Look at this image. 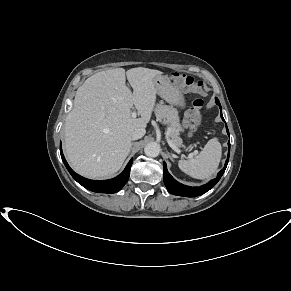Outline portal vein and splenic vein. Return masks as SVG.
<instances>
[{"label":"portal vein and splenic vein","mask_w":291,"mask_h":291,"mask_svg":"<svg viewBox=\"0 0 291 291\" xmlns=\"http://www.w3.org/2000/svg\"><path fill=\"white\" fill-rule=\"evenodd\" d=\"M136 116H137L136 111H133V112L131 113V117H132V118H136ZM166 140H167L169 146H170L174 151H176L177 153H180V149H178V148H177V147L172 143V141L169 139L168 133H166Z\"/></svg>","instance_id":"1"}]
</instances>
